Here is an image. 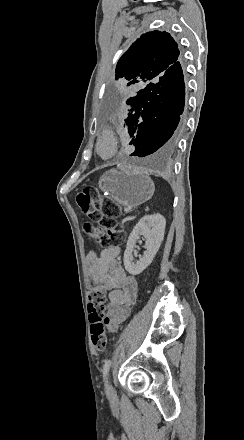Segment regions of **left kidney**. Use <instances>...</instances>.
<instances>
[{
    "label": "left kidney",
    "mask_w": 244,
    "mask_h": 440,
    "mask_svg": "<svg viewBox=\"0 0 244 440\" xmlns=\"http://www.w3.org/2000/svg\"><path fill=\"white\" fill-rule=\"evenodd\" d=\"M165 226L166 220L161 214L144 216L134 226L127 240V248L124 252V266L129 274L138 276L143 270H146L147 266H150L161 246V242H163ZM140 236L145 238V248L147 250L144 252V256H140L138 262H134L133 250L137 240H140Z\"/></svg>",
    "instance_id": "5707ae66"
}]
</instances>
